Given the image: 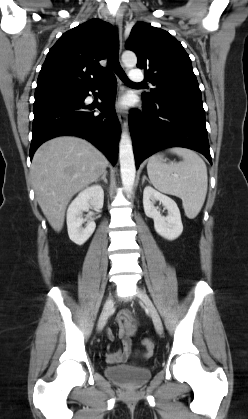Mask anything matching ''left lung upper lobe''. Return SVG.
Instances as JSON below:
<instances>
[{"label":"left lung upper lobe","mask_w":248,"mask_h":419,"mask_svg":"<svg viewBox=\"0 0 248 419\" xmlns=\"http://www.w3.org/2000/svg\"><path fill=\"white\" fill-rule=\"evenodd\" d=\"M126 48L136 53L137 67L144 69L147 80L155 86L142 99L199 98L201 91L189 55L181 43L167 31L138 22L131 30Z\"/></svg>","instance_id":"1"}]
</instances>
